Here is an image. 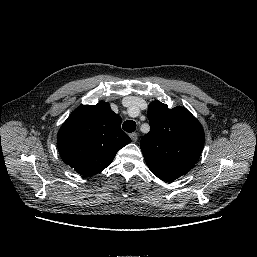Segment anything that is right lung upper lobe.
Listing matches in <instances>:
<instances>
[{"instance_id": "1", "label": "right lung upper lobe", "mask_w": 257, "mask_h": 257, "mask_svg": "<svg viewBox=\"0 0 257 257\" xmlns=\"http://www.w3.org/2000/svg\"><path fill=\"white\" fill-rule=\"evenodd\" d=\"M122 119L109 103L75 109L57 135L62 160L83 176H93L114 159L118 150L131 142L121 130Z\"/></svg>"}]
</instances>
